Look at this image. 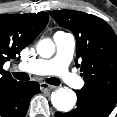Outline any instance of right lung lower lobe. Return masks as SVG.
Returning a JSON list of instances; mask_svg holds the SVG:
<instances>
[{
    "label": "right lung lower lobe",
    "instance_id": "98d812e1",
    "mask_svg": "<svg viewBox=\"0 0 117 117\" xmlns=\"http://www.w3.org/2000/svg\"><path fill=\"white\" fill-rule=\"evenodd\" d=\"M39 92L37 82H17L0 94V117H25L31 98Z\"/></svg>",
    "mask_w": 117,
    "mask_h": 117
}]
</instances>
